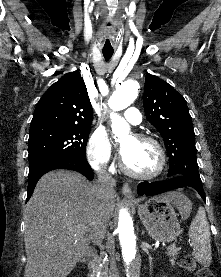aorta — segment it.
I'll return each mask as SVG.
<instances>
[{
	"instance_id": "aorta-1",
	"label": "aorta",
	"mask_w": 221,
	"mask_h": 277,
	"mask_svg": "<svg viewBox=\"0 0 221 277\" xmlns=\"http://www.w3.org/2000/svg\"><path fill=\"white\" fill-rule=\"evenodd\" d=\"M138 89L139 83L136 80L128 79L124 81L112 93L108 101V105L114 111L127 108L136 99ZM110 117L112 121V132L115 138L127 136L129 134L130 127L125 119L116 113H111ZM114 233L117 237L119 249L126 266V276L136 277L141 257L133 220L127 208H121L119 210L118 219L114 227Z\"/></svg>"
}]
</instances>
